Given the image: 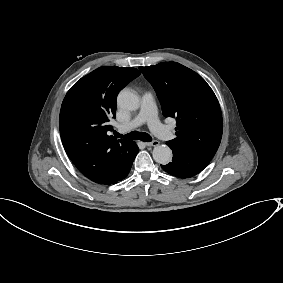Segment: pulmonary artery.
Returning a JSON list of instances; mask_svg holds the SVG:
<instances>
[{"mask_svg":"<svg viewBox=\"0 0 283 283\" xmlns=\"http://www.w3.org/2000/svg\"><path fill=\"white\" fill-rule=\"evenodd\" d=\"M154 98L151 93L145 92L140 95L139 110L134 116L133 120L128 124H119L117 130L120 133H125L132 128L141 125L144 120L147 127L158 137L164 140H171L173 138V131L168 126H163L157 119V110L154 107Z\"/></svg>","mask_w":283,"mask_h":283,"instance_id":"1","label":"pulmonary artery"}]
</instances>
